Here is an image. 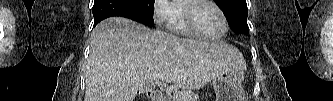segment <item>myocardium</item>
<instances>
[{
    "label": "myocardium",
    "instance_id": "myocardium-1",
    "mask_svg": "<svg viewBox=\"0 0 333 101\" xmlns=\"http://www.w3.org/2000/svg\"><path fill=\"white\" fill-rule=\"evenodd\" d=\"M201 4H208V5L212 6L219 13V15L222 19V22H223V30L219 35L207 36L198 29V27L195 23V19H194V11ZM182 9H183V18H184L185 26L192 35H194L198 38H201V39L214 41V40L222 39L227 34L228 29H229L228 20L226 18V15L224 14L223 10L215 2L208 1V0L184 1Z\"/></svg>",
    "mask_w": 333,
    "mask_h": 101
}]
</instances>
